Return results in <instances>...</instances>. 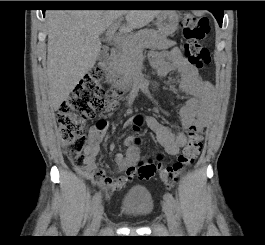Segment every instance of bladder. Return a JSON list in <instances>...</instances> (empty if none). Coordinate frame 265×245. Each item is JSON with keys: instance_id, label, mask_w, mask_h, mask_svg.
I'll return each instance as SVG.
<instances>
[{"instance_id": "bladder-1", "label": "bladder", "mask_w": 265, "mask_h": 245, "mask_svg": "<svg viewBox=\"0 0 265 245\" xmlns=\"http://www.w3.org/2000/svg\"><path fill=\"white\" fill-rule=\"evenodd\" d=\"M153 209V200L147 187L135 185L125 194L119 210L130 216H146Z\"/></svg>"}]
</instances>
